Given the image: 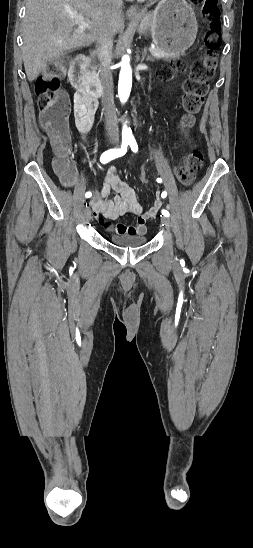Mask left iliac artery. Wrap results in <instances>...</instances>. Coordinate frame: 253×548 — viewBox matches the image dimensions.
<instances>
[{"label": "left iliac artery", "instance_id": "44dca946", "mask_svg": "<svg viewBox=\"0 0 253 548\" xmlns=\"http://www.w3.org/2000/svg\"><path fill=\"white\" fill-rule=\"evenodd\" d=\"M129 145H130L131 150H132L133 152L136 153V152L138 151V145H137V142H136L135 139H130V140H129ZM157 182L161 183V182H162V179H161V178H157ZM161 196H162V198H165V197L167 196V193H166V192H163ZM161 212H162V214H163L164 216H166V217H169V216H170L169 212H168L167 210H165V209H163Z\"/></svg>", "mask_w": 253, "mask_h": 548}]
</instances>
